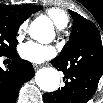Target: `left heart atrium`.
Segmentation results:
<instances>
[{"instance_id": "1", "label": "left heart atrium", "mask_w": 103, "mask_h": 103, "mask_svg": "<svg viewBox=\"0 0 103 103\" xmlns=\"http://www.w3.org/2000/svg\"><path fill=\"white\" fill-rule=\"evenodd\" d=\"M19 55L32 63H42L55 55V49L49 45L28 41L20 45Z\"/></svg>"}]
</instances>
